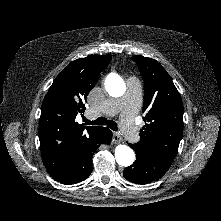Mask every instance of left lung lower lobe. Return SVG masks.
Segmentation results:
<instances>
[{"label":"left lung lower lobe","mask_w":221,"mask_h":221,"mask_svg":"<svg viewBox=\"0 0 221 221\" xmlns=\"http://www.w3.org/2000/svg\"><path fill=\"white\" fill-rule=\"evenodd\" d=\"M136 152V161L127 167L124 177L137 184H146L163 176L171 166L174 156H145L137 152L135 144H130Z\"/></svg>","instance_id":"obj_1"}]
</instances>
